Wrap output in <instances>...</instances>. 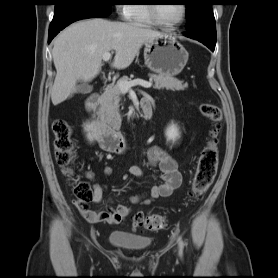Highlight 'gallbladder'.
<instances>
[{"label":"gallbladder","instance_id":"gallbladder-1","mask_svg":"<svg viewBox=\"0 0 278 278\" xmlns=\"http://www.w3.org/2000/svg\"><path fill=\"white\" fill-rule=\"evenodd\" d=\"M92 89H93L92 86L83 84L78 86L76 91L77 93H81V94H89L92 91Z\"/></svg>","mask_w":278,"mask_h":278}]
</instances>
